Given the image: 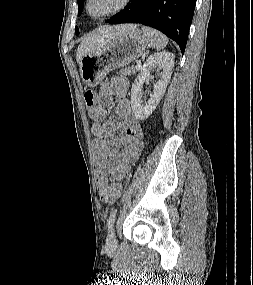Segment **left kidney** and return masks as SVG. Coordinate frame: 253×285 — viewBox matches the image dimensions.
<instances>
[{
	"label": "left kidney",
	"instance_id": "left-kidney-1",
	"mask_svg": "<svg viewBox=\"0 0 253 285\" xmlns=\"http://www.w3.org/2000/svg\"><path fill=\"white\" fill-rule=\"evenodd\" d=\"M174 59L173 53L163 51L151 55L144 63L131 89V106L137 119H147L159 104L171 79ZM155 68L162 71L160 79L154 84L153 95L143 105L141 101L142 87L144 82L150 78V72Z\"/></svg>",
	"mask_w": 253,
	"mask_h": 285
}]
</instances>
